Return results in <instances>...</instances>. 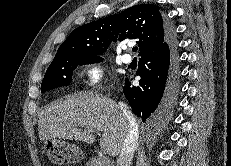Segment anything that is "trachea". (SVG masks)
Wrapping results in <instances>:
<instances>
[{
    "instance_id": "obj_1",
    "label": "trachea",
    "mask_w": 231,
    "mask_h": 166,
    "mask_svg": "<svg viewBox=\"0 0 231 166\" xmlns=\"http://www.w3.org/2000/svg\"><path fill=\"white\" fill-rule=\"evenodd\" d=\"M137 50H138L137 47H133V48H132V51H133V52H136Z\"/></svg>"
}]
</instances>
